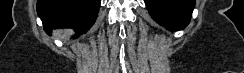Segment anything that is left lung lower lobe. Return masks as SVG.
Returning a JSON list of instances; mask_svg holds the SVG:
<instances>
[{"instance_id":"0a47b994","label":"left lung lower lobe","mask_w":244,"mask_h":73,"mask_svg":"<svg viewBox=\"0 0 244 73\" xmlns=\"http://www.w3.org/2000/svg\"><path fill=\"white\" fill-rule=\"evenodd\" d=\"M150 15L167 29L185 28L191 18L195 0H145Z\"/></svg>"}]
</instances>
